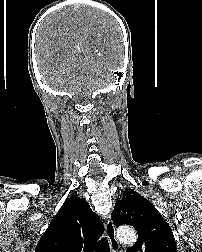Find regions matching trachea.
Listing matches in <instances>:
<instances>
[{
	"label": "trachea",
	"instance_id": "1",
	"mask_svg": "<svg viewBox=\"0 0 202 252\" xmlns=\"http://www.w3.org/2000/svg\"><path fill=\"white\" fill-rule=\"evenodd\" d=\"M95 252H110L109 243L106 238H102L98 242V246H97Z\"/></svg>",
	"mask_w": 202,
	"mask_h": 252
}]
</instances>
